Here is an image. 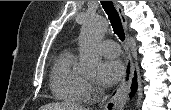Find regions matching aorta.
Returning a JSON list of instances; mask_svg holds the SVG:
<instances>
[{
    "label": "aorta",
    "instance_id": "obj_1",
    "mask_svg": "<svg viewBox=\"0 0 171 110\" xmlns=\"http://www.w3.org/2000/svg\"><path fill=\"white\" fill-rule=\"evenodd\" d=\"M107 29V23L99 15H91L82 27L79 42V70L83 74H94L99 63L97 45Z\"/></svg>",
    "mask_w": 171,
    "mask_h": 110
}]
</instances>
